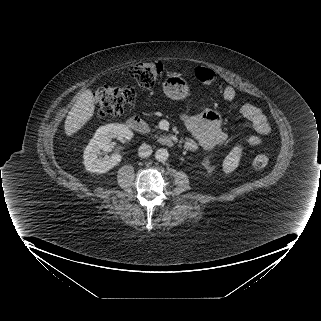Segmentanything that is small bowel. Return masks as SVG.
<instances>
[{
	"label": "small bowel",
	"mask_w": 321,
	"mask_h": 321,
	"mask_svg": "<svg viewBox=\"0 0 321 321\" xmlns=\"http://www.w3.org/2000/svg\"><path fill=\"white\" fill-rule=\"evenodd\" d=\"M223 95L226 100L232 101L236 98V91L232 87H226ZM239 111L252 124L254 130V134L248 136L244 140V144L248 147L258 146L262 142V136L271 130L266 114L261 108L247 101L241 104ZM180 118L191 135L185 141V147L188 151L199 153L226 144L228 138L222 127L219 111L207 109L199 114L183 113Z\"/></svg>",
	"instance_id": "c3829d8e"
}]
</instances>
